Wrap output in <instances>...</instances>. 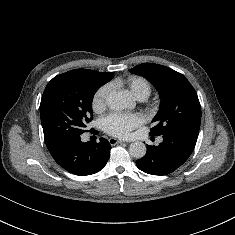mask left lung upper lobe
Masks as SVG:
<instances>
[{"label":"left lung upper lobe","mask_w":235,"mask_h":235,"mask_svg":"<svg viewBox=\"0 0 235 235\" xmlns=\"http://www.w3.org/2000/svg\"><path fill=\"white\" fill-rule=\"evenodd\" d=\"M143 76L158 90L161 105L153 122L150 135L185 131L198 134L201 106L196 91L181 73L154 63H143L130 69Z\"/></svg>","instance_id":"5c2ea615"}]
</instances>
